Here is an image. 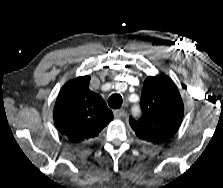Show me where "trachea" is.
Masks as SVG:
<instances>
[{"mask_svg":"<svg viewBox=\"0 0 223 188\" xmlns=\"http://www.w3.org/2000/svg\"><path fill=\"white\" fill-rule=\"evenodd\" d=\"M123 99L119 94H113L108 99V105L113 109H118L121 107Z\"/></svg>","mask_w":223,"mask_h":188,"instance_id":"obj_1","label":"trachea"}]
</instances>
